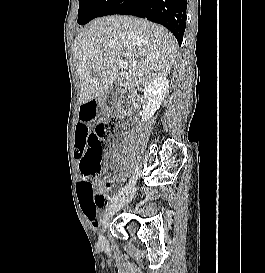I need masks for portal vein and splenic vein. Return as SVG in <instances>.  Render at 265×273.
I'll return each mask as SVG.
<instances>
[{
	"label": "portal vein and splenic vein",
	"mask_w": 265,
	"mask_h": 273,
	"mask_svg": "<svg viewBox=\"0 0 265 273\" xmlns=\"http://www.w3.org/2000/svg\"><path fill=\"white\" fill-rule=\"evenodd\" d=\"M116 63L119 66V68H121V69H126L128 66V63L121 60V59L116 60Z\"/></svg>",
	"instance_id": "1"
}]
</instances>
